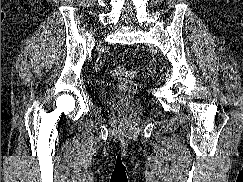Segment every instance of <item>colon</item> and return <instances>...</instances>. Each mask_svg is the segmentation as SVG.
Returning <instances> with one entry per match:
<instances>
[{
    "mask_svg": "<svg viewBox=\"0 0 243 182\" xmlns=\"http://www.w3.org/2000/svg\"><path fill=\"white\" fill-rule=\"evenodd\" d=\"M137 71L133 68L118 66L111 70V75L119 80L127 81L136 75Z\"/></svg>",
    "mask_w": 243,
    "mask_h": 182,
    "instance_id": "5ec220e1",
    "label": "colon"
}]
</instances>
